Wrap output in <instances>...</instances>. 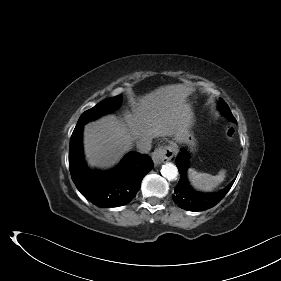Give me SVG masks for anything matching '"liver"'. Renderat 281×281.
Segmentation results:
<instances>
[{
	"label": "liver",
	"instance_id": "liver-1",
	"mask_svg": "<svg viewBox=\"0 0 281 281\" xmlns=\"http://www.w3.org/2000/svg\"><path fill=\"white\" fill-rule=\"evenodd\" d=\"M192 89L183 84L159 87L132 101L124 121L107 115L84 127V153L90 167L110 168L138 139L175 137L192 124L193 112L186 98Z\"/></svg>",
	"mask_w": 281,
	"mask_h": 281
}]
</instances>
